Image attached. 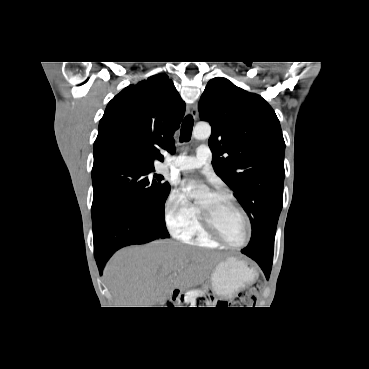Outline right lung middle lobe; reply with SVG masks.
<instances>
[{
  "label": "right lung middle lobe",
  "instance_id": "dd1d6c3e",
  "mask_svg": "<svg viewBox=\"0 0 369 369\" xmlns=\"http://www.w3.org/2000/svg\"><path fill=\"white\" fill-rule=\"evenodd\" d=\"M153 171L154 168L130 163L93 166V224L109 208L125 206L142 212L156 232L168 238L164 205L170 185L163 182L162 175L153 174Z\"/></svg>",
  "mask_w": 369,
  "mask_h": 369
}]
</instances>
